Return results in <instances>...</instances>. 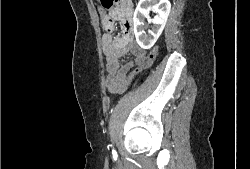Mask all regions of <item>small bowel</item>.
Wrapping results in <instances>:
<instances>
[{
  "label": "small bowel",
  "mask_w": 250,
  "mask_h": 169,
  "mask_svg": "<svg viewBox=\"0 0 250 169\" xmlns=\"http://www.w3.org/2000/svg\"><path fill=\"white\" fill-rule=\"evenodd\" d=\"M121 15L125 23L124 35L125 37H128L130 32V19L126 11L122 10ZM112 21L111 16H105V28H110ZM102 41L106 59L107 86L111 92L117 93V89H127L118 88V83H130L123 82V77H126V72H130L134 65L132 61L122 63L121 58L129 54L135 57L137 64L140 65V63L145 59V53L133 42L127 41L118 43L108 33L103 35Z\"/></svg>",
  "instance_id": "c3829d8e"
}]
</instances>
